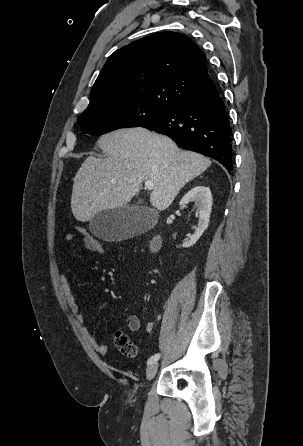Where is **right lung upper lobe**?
Wrapping results in <instances>:
<instances>
[{"mask_svg": "<svg viewBox=\"0 0 303 446\" xmlns=\"http://www.w3.org/2000/svg\"><path fill=\"white\" fill-rule=\"evenodd\" d=\"M213 87L206 57L195 42L181 33L159 32L111 54L87 109L124 102L173 107Z\"/></svg>", "mask_w": 303, "mask_h": 446, "instance_id": "obj_1", "label": "right lung upper lobe"}]
</instances>
